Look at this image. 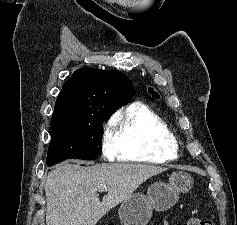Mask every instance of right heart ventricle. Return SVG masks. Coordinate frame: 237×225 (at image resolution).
<instances>
[{
	"mask_svg": "<svg viewBox=\"0 0 237 225\" xmlns=\"http://www.w3.org/2000/svg\"><path fill=\"white\" fill-rule=\"evenodd\" d=\"M114 160L163 163L177 156L176 139L167 123L149 107L135 103L115 118Z\"/></svg>",
	"mask_w": 237,
	"mask_h": 225,
	"instance_id": "1",
	"label": "right heart ventricle"
}]
</instances>
